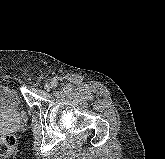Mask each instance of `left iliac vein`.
<instances>
[{"mask_svg":"<svg viewBox=\"0 0 165 159\" xmlns=\"http://www.w3.org/2000/svg\"><path fill=\"white\" fill-rule=\"evenodd\" d=\"M44 87H45L46 91L51 90L52 88H54L53 87V82H47Z\"/></svg>","mask_w":165,"mask_h":159,"instance_id":"1","label":"left iliac vein"}]
</instances>
